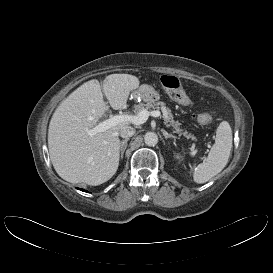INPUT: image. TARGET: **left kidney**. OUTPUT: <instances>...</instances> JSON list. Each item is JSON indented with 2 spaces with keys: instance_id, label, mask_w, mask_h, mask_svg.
<instances>
[{
  "instance_id": "1",
  "label": "left kidney",
  "mask_w": 273,
  "mask_h": 273,
  "mask_svg": "<svg viewBox=\"0 0 273 273\" xmlns=\"http://www.w3.org/2000/svg\"><path fill=\"white\" fill-rule=\"evenodd\" d=\"M176 158H177V159H179V158H180V156H179V155H177V156H176Z\"/></svg>"
}]
</instances>
